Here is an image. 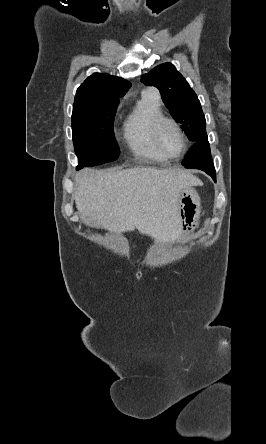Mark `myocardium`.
Wrapping results in <instances>:
<instances>
[{
	"mask_svg": "<svg viewBox=\"0 0 266 444\" xmlns=\"http://www.w3.org/2000/svg\"><path fill=\"white\" fill-rule=\"evenodd\" d=\"M165 123L172 124L175 127V129L177 130V132L181 138L180 152L177 155H175L176 157H179V156L183 155L187 149V139H186L185 133H184L183 129L181 128L180 124L173 118H170L167 116H162L155 121V123L153 125V130H152L154 145L162 155H164L165 157L170 156L163 150V148L160 144V141H159L160 130Z\"/></svg>",
	"mask_w": 266,
	"mask_h": 444,
	"instance_id": "obj_1",
	"label": "myocardium"
}]
</instances>
